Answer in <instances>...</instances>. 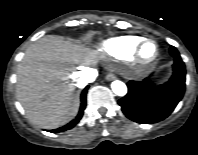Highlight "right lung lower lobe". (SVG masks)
Instances as JSON below:
<instances>
[{
    "label": "right lung lower lobe",
    "instance_id": "right-lung-lower-lobe-1",
    "mask_svg": "<svg viewBox=\"0 0 198 155\" xmlns=\"http://www.w3.org/2000/svg\"><path fill=\"white\" fill-rule=\"evenodd\" d=\"M85 97H86V89L83 91V94H82L81 108H80L79 115L77 116V119L76 120H74L73 122L70 123V125L68 126V128L73 127L74 124L77 123L81 119V117L83 115V110L85 108ZM64 130H65V128H64Z\"/></svg>",
    "mask_w": 198,
    "mask_h": 155
}]
</instances>
